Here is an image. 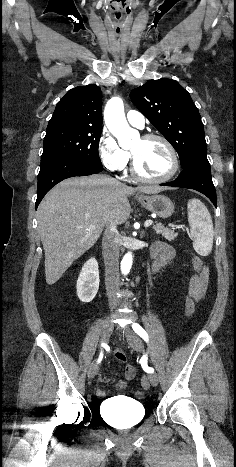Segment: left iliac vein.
<instances>
[{
    "label": "left iliac vein",
    "instance_id": "1",
    "mask_svg": "<svg viewBox=\"0 0 236 467\" xmlns=\"http://www.w3.org/2000/svg\"><path fill=\"white\" fill-rule=\"evenodd\" d=\"M125 336L126 339L129 343V345L136 351H142L143 350V343L140 337L131 329L127 328L125 331ZM149 381L151 385L157 386L158 385V375L155 372H151L148 375Z\"/></svg>",
    "mask_w": 236,
    "mask_h": 467
}]
</instances>
